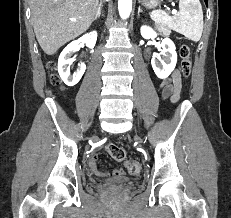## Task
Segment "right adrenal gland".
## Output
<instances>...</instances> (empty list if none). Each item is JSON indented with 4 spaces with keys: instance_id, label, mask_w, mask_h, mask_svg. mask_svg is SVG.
<instances>
[{
    "instance_id": "1",
    "label": "right adrenal gland",
    "mask_w": 231,
    "mask_h": 218,
    "mask_svg": "<svg viewBox=\"0 0 231 218\" xmlns=\"http://www.w3.org/2000/svg\"><path fill=\"white\" fill-rule=\"evenodd\" d=\"M102 3L99 4L98 13L95 16L94 20H97L101 16Z\"/></svg>"
}]
</instances>
